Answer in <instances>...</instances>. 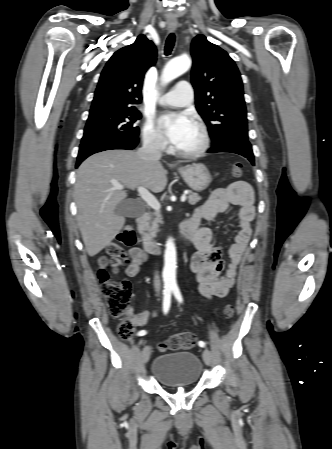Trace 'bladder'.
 <instances>
[{
  "instance_id": "bladder-1",
  "label": "bladder",
  "mask_w": 332,
  "mask_h": 449,
  "mask_svg": "<svg viewBox=\"0 0 332 449\" xmlns=\"http://www.w3.org/2000/svg\"><path fill=\"white\" fill-rule=\"evenodd\" d=\"M203 372L198 356L193 352L177 351L157 356L152 364V376L165 387L196 385Z\"/></svg>"
}]
</instances>
